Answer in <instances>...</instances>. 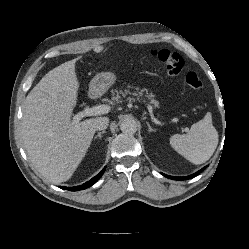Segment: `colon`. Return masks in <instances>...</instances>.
Instances as JSON below:
<instances>
[{
	"label": "colon",
	"mask_w": 249,
	"mask_h": 249,
	"mask_svg": "<svg viewBox=\"0 0 249 249\" xmlns=\"http://www.w3.org/2000/svg\"><path fill=\"white\" fill-rule=\"evenodd\" d=\"M146 56L156 59L172 76H184L186 84L193 89H200L202 87V80L195 72H184V60L175 52L167 49H153L146 53Z\"/></svg>",
	"instance_id": "1"
}]
</instances>
